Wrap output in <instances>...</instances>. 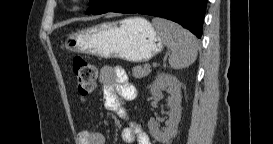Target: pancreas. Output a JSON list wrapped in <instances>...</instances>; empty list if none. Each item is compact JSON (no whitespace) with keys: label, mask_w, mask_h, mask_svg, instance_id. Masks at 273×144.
Returning <instances> with one entry per match:
<instances>
[{"label":"pancreas","mask_w":273,"mask_h":144,"mask_svg":"<svg viewBox=\"0 0 273 144\" xmlns=\"http://www.w3.org/2000/svg\"><path fill=\"white\" fill-rule=\"evenodd\" d=\"M151 72L150 68L148 67H142V66H136L132 69V75L135 78H143L149 75Z\"/></svg>","instance_id":"1"}]
</instances>
